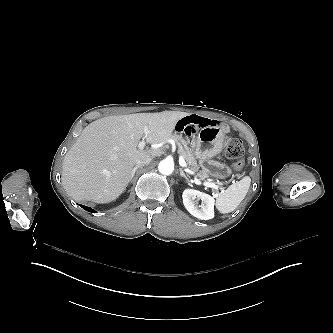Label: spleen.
Returning <instances> with one entry per match:
<instances>
[{
	"label": "spleen",
	"instance_id": "1",
	"mask_svg": "<svg viewBox=\"0 0 333 333\" xmlns=\"http://www.w3.org/2000/svg\"><path fill=\"white\" fill-rule=\"evenodd\" d=\"M250 184L251 178L245 176L237 183L230 185L216 198L217 210L222 214L234 211L246 197Z\"/></svg>",
	"mask_w": 333,
	"mask_h": 333
}]
</instances>
